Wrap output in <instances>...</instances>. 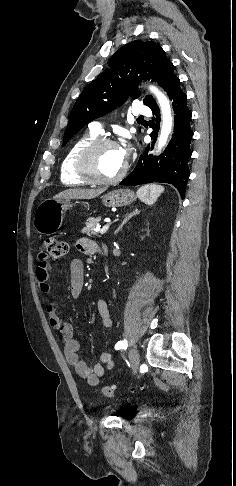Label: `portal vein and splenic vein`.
<instances>
[{
    "label": "portal vein and splenic vein",
    "mask_w": 236,
    "mask_h": 486,
    "mask_svg": "<svg viewBox=\"0 0 236 486\" xmlns=\"http://www.w3.org/2000/svg\"><path fill=\"white\" fill-rule=\"evenodd\" d=\"M109 227H110V224H106L102 228H100V227L96 228L95 231H99L100 234H105L108 231Z\"/></svg>",
    "instance_id": "obj_1"
}]
</instances>
